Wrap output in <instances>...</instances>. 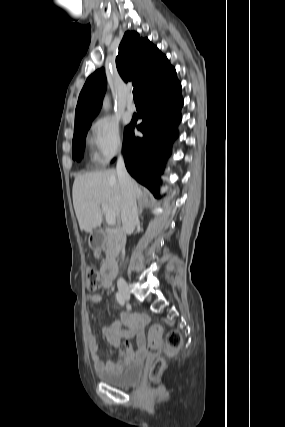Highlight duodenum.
<instances>
[{
	"mask_svg": "<svg viewBox=\"0 0 285 427\" xmlns=\"http://www.w3.org/2000/svg\"><path fill=\"white\" fill-rule=\"evenodd\" d=\"M116 273V260L113 256H110L107 262L104 264L103 267V281L109 282L112 280V278L115 276Z\"/></svg>",
	"mask_w": 285,
	"mask_h": 427,
	"instance_id": "1",
	"label": "duodenum"
}]
</instances>
